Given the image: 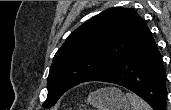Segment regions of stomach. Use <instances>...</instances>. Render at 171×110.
Masks as SVG:
<instances>
[{"label":"stomach","instance_id":"stomach-1","mask_svg":"<svg viewBox=\"0 0 171 110\" xmlns=\"http://www.w3.org/2000/svg\"><path fill=\"white\" fill-rule=\"evenodd\" d=\"M88 103L97 110H130V103L116 87L99 89L88 96Z\"/></svg>","mask_w":171,"mask_h":110}]
</instances>
